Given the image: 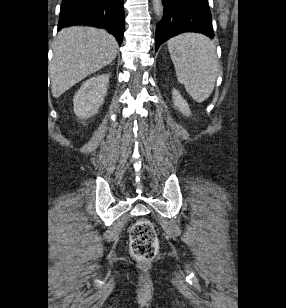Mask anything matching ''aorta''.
Instances as JSON below:
<instances>
[{
    "label": "aorta",
    "instance_id": "aorta-1",
    "mask_svg": "<svg viewBox=\"0 0 286 308\" xmlns=\"http://www.w3.org/2000/svg\"><path fill=\"white\" fill-rule=\"evenodd\" d=\"M152 5H153V11L155 15L161 19L163 16V3L162 0H152Z\"/></svg>",
    "mask_w": 286,
    "mask_h": 308
}]
</instances>
